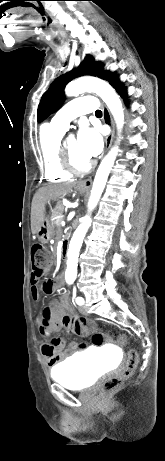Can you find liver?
I'll use <instances>...</instances> for the list:
<instances>
[{
    "label": "liver",
    "mask_w": 165,
    "mask_h": 461,
    "mask_svg": "<svg viewBox=\"0 0 165 461\" xmlns=\"http://www.w3.org/2000/svg\"><path fill=\"white\" fill-rule=\"evenodd\" d=\"M76 183L47 185L40 188L33 197L31 207V231L36 234L44 219L45 204L49 200L57 201L69 194Z\"/></svg>",
    "instance_id": "obj_1"
}]
</instances>
